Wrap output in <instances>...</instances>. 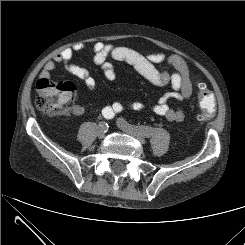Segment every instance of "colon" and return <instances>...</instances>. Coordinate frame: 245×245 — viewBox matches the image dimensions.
<instances>
[{"label":"colon","mask_w":245,"mask_h":245,"mask_svg":"<svg viewBox=\"0 0 245 245\" xmlns=\"http://www.w3.org/2000/svg\"><path fill=\"white\" fill-rule=\"evenodd\" d=\"M36 88L38 91L36 106L39 110L52 116H64L72 112L75 86L71 82L40 79ZM197 90L202 109V114L198 118L205 121L215 114V98L202 82L197 84Z\"/></svg>","instance_id":"colon-1"}]
</instances>
